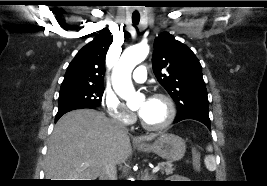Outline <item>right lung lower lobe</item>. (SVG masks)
Listing matches in <instances>:
<instances>
[{
    "mask_svg": "<svg viewBox=\"0 0 267 186\" xmlns=\"http://www.w3.org/2000/svg\"><path fill=\"white\" fill-rule=\"evenodd\" d=\"M81 108H94V107H91V106H80V107H74V108H65V109H60L58 110L57 114H56V117H55V122L58 121V119L64 115L65 113L69 112V111H72V110H75V109H81Z\"/></svg>",
    "mask_w": 267,
    "mask_h": 186,
    "instance_id": "obj_1",
    "label": "right lung lower lobe"
}]
</instances>
